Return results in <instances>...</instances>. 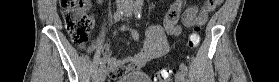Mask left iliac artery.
I'll use <instances>...</instances> for the list:
<instances>
[{"label": "left iliac artery", "instance_id": "44dca946", "mask_svg": "<svg viewBox=\"0 0 279 82\" xmlns=\"http://www.w3.org/2000/svg\"><path fill=\"white\" fill-rule=\"evenodd\" d=\"M142 6H143V0H136L134 5V12L137 18H141ZM180 69L184 73V75H187L188 69L184 63H180Z\"/></svg>", "mask_w": 279, "mask_h": 82}]
</instances>
